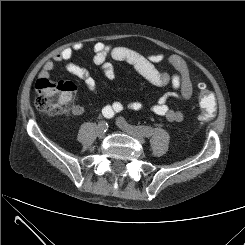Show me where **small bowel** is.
<instances>
[{
  "instance_id": "small-bowel-1",
  "label": "small bowel",
  "mask_w": 245,
  "mask_h": 245,
  "mask_svg": "<svg viewBox=\"0 0 245 245\" xmlns=\"http://www.w3.org/2000/svg\"><path fill=\"white\" fill-rule=\"evenodd\" d=\"M82 49L83 46L77 44L55 54L52 61H47L44 64L39 73L40 79H49L51 72L56 68V63H62L68 73L83 80L86 88L92 93L97 94L98 86L95 79L89 74L87 69L78 66L72 61L74 52H79ZM93 50V62L101 67L104 77L109 81H113L116 77L115 67L109 61V58H112L115 61L131 66L152 85L164 86L171 83L174 91L151 105L150 110L155 115L164 117L169 122H180L184 119L183 110L173 109L167 103L169 99L188 101L193 95L195 76L180 56L172 55L166 58L164 55L157 53L142 55L135 50L121 46H112L103 42H96L93 45ZM160 63H165L167 69L159 70L156 65ZM124 109L140 111L143 109V104L137 100L128 103L114 101L104 106L102 110L109 113L111 118L114 114ZM83 112L84 108L80 105L72 107L74 115H81Z\"/></svg>"
}]
</instances>
